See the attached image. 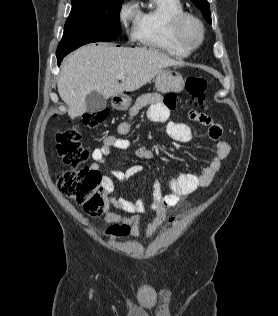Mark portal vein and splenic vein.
<instances>
[{
	"label": "portal vein and splenic vein",
	"mask_w": 278,
	"mask_h": 316,
	"mask_svg": "<svg viewBox=\"0 0 278 316\" xmlns=\"http://www.w3.org/2000/svg\"><path fill=\"white\" fill-rule=\"evenodd\" d=\"M117 78H118V79H124L125 76H124L123 74H119V75H117Z\"/></svg>",
	"instance_id": "18ae733b"
}]
</instances>
